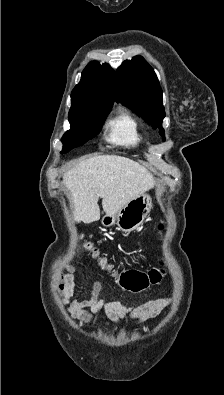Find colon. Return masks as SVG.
<instances>
[{
	"label": "colon",
	"instance_id": "obj_1",
	"mask_svg": "<svg viewBox=\"0 0 224 395\" xmlns=\"http://www.w3.org/2000/svg\"><path fill=\"white\" fill-rule=\"evenodd\" d=\"M163 227V223H160L158 228L162 230ZM81 243L87 255L103 263L108 271L118 274L117 270L107 263L106 259L100 254L98 249L94 247L92 242L81 239ZM164 273L165 271L163 268H153L148 273L128 269L120 272V278L125 289L131 292H140L147 289L150 285L158 284L164 276Z\"/></svg>",
	"mask_w": 224,
	"mask_h": 395
}]
</instances>
